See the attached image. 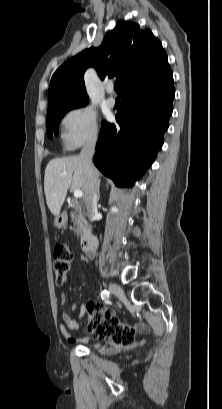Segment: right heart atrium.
Returning a JSON list of instances; mask_svg holds the SVG:
<instances>
[{
    "label": "right heart atrium",
    "instance_id": "1",
    "mask_svg": "<svg viewBox=\"0 0 222 409\" xmlns=\"http://www.w3.org/2000/svg\"><path fill=\"white\" fill-rule=\"evenodd\" d=\"M99 136L96 112L89 106L69 110L61 122V139L67 149L95 143Z\"/></svg>",
    "mask_w": 222,
    "mask_h": 409
}]
</instances>
